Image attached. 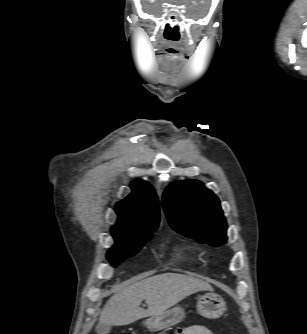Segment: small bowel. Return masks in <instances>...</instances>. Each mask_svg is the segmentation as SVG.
Instances as JSON below:
<instances>
[{
  "mask_svg": "<svg viewBox=\"0 0 307 334\" xmlns=\"http://www.w3.org/2000/svg\"><path fill=\"white\" fill-rule=\"evenodd\" d=\"M179 334H214L204 325H193L180 331Z\"/></svg>",
  "mask_w": 307,
  "mask_h": 334,
  "instance_id": "1",
  "label": "small bowel"
}]
</instances>
